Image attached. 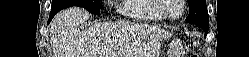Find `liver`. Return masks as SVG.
I'll return each mask as SVG.
<instances>
[{
    "label": "liver",
    "instance_id": "liver-1",
    "mask_svg": "<svg viewBox=\"0 0 249 57\" xmlns=\"http://www.w3.org/2000/svg\"><path fill=\"white\" fill-rule=\"evenodd\" d=\"M89 16L80 7L55 16L50 33L56 57H159L164 30L127 21L95 23L80 30Z\"/></svg>",
    "mask_w": 249,
    "mask_h": 57
}]
</instances>
